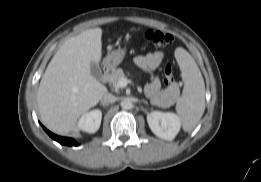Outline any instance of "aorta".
<instances>
[{"label":"aorta","instance_id":"aorta-1","mask_svg":"<svg viewBox=\"0 0 261 182\" xmlns=\"http://www.w3.org/2000/svg\"><path fill=\"white\" fill-rule=\"evenodd\" d=\"M133 106L132 102L129 99H125L121 102V107L125 110L131 109Z\"/></svg>","mask_w":261,"mask_h":182}]
</instances>
